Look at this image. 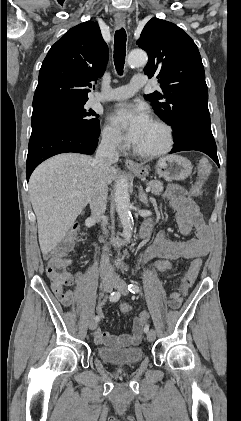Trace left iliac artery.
Returning <instances> with one entry per match:
<instances>
[{
	"mask_svg": "<svg viewBox=\"0 0 241 421\" xmlns=\"http://www.w3.org/2000/svg\"><path fill=\"white\" fill-rule=\"evenodd\" d=\"M128 290L131 293L135 294V293H138L139 292V287L136 284L131 283V284L128 285ZM144 332L145 333H148L149 332V325H146L145 326Z\"/></svg>",
	"mask_w": 241,
	"mask_h": 421,
	"instance_id": "1",
	"label": "left iliac artery"
}]
</instances>
